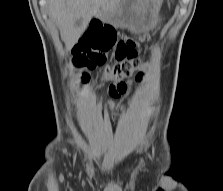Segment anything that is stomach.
<instances>
[{"instance_id":"1","label":"stomach","mask_w":223,"mask_h":191,"mask_svg":"<svg viewBox=\"0 0 223 191\" xmlns=\"http://www.w3.org/2000/svg\"><path fill=\"white\" fill-rule=\"evenodd\" d=\"M163 0H123L112 11L103 10L98 17L101 21L115 27L133 32H144L152 28L158 18Z\"/></svg>"}]
</instances>
